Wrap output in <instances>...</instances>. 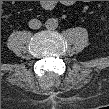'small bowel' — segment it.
Here are the masks:
<instances>
[{
    "label": "small bowel",
    "instance_id": "c3829d8e",
    "mask_svg": "<svg viewBox=\"0 0 109 109\" xmlns=\"http://www.w3.org/2000/svg\"><path fill=\"white\" fill-rule=\"evenodd\" d=\"M43 6L46 8V9H50L52 7V3L47 1L43 4Z\"/></svg>",
    "mask_w": 109,
    "mask_h": 109
}]
</instances>
